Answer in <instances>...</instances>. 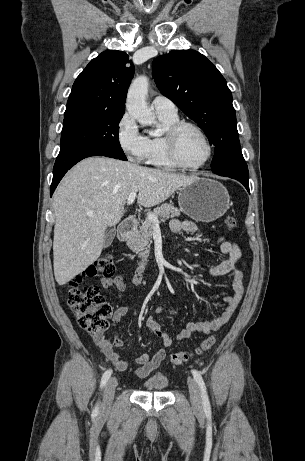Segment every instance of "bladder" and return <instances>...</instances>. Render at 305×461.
Here are the masks:
<instances>
[{
    "mask_svg": "<svg viewBox=\"0 0 305 461\" xmlns=\"http://www.w3.org/2000/svg\"><path fill=\"white\" fill-rule=\"evenodd\" d=\"M170 384L167 376L163 374H157L152 377L145 379L142 382V387L148 392H164Z\"/></svg>",
    "mask_w": 305,
    "mask_h": 461,
    "instance_id": "obj_1",
    "label": "bladder"
}]
</instances>
